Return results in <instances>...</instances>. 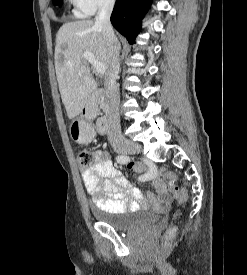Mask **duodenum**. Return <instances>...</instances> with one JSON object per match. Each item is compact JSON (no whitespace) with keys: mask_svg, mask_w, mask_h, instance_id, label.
Listing matches in <instances>:
<instances>
[{"mask_svg":"<svg viewBox=\"0 0 247 275\" xmlns=\"http://www.w3.org/2000/svg\"><path fill=\"white\" fill-rule=\"evenodd\" d=\"M107 96L106 91H94L84 102L83 111L85 113L90 110H94L97 105L101 102L103 97ZM110 122V108L109 106L105 107L104 114L97 119V130L100 134H104L108 129Z\"/></svg>","mask_w":247,"mask_h":275,"instance_id":"obj_1","label":"duodenum"}]
</instances>
